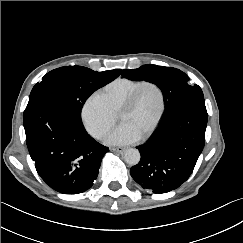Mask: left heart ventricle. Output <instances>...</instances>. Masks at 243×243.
I'll list each match as a JSON object with an SVG mask.
<instances>
[{
	"label": "left heart ventricle",
	"instance_id": "left-heart-ventricle-1",
	"mask_svg": "<svg viewBox=\"0 0 243 243\" xmlns=\"http://www.w3.org/2000/svg\"><path fill=\"white\" fill-rule=\"evenodd\" d=\"M159 110V92L154 86L147 85L140 90L135 106L131 110L122 113L119 119L122 123L129 124L142 135L152 126Z\"/></svg>",
	"mask_w": 243,
	"mask_h": 243
}]
</instances>
